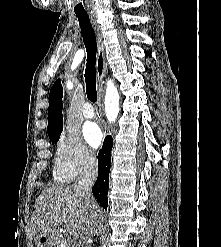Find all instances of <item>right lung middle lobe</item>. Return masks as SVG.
Segmentation results:
<instances>
[{
	"label": "right lung middle lobe",
	"mask_w": 221,
	"mask_h": 247,
	"mask_svg": "<svg viewBox=\"0 0 221 247\" xmlns=\"http://www.w3.org/2000/svg\"><path fill=\"white\" fill-rule=\"evenodd\" d=\"M60 136L54 137V138H50V140L52 141V144L56 143L59 140Z\"/></svg>",
	"instance_id": "1"
}]
</instances>
